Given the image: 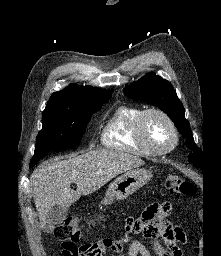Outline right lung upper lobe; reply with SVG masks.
<instances>
[{
	"mask_svg": "<svg viewBox=\"0 0 221 256\" xmlns=\"http://www.w3.org/2000/svg\"><path fill=\"white\" fill-rule=\"evenodd\" d=\"M109 95H111L109 90L70 84L67 88L52 94L44 112L74 111L84 101Z\"/></svg>",
	"mask_w": 221,
	"mask_h": 256,
	"instance_id": "right-lung-upper-lobe-1",
	"label": "right lung upper lobe"
}]
</instances>
